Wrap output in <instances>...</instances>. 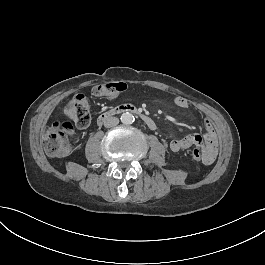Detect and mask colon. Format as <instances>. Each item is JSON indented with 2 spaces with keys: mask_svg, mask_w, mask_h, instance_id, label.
<instances>
[{
  "mask_svg": "<svg viewBox=\"0 0 265 265\" xmlns=\"http://www.w3.org/2000/svg\"><path fill=\"white\" fill-rule=\"evenodd\" d=\"M126 89L123 83L99 84L92 88L91 94L97 98L114 100ZM90 103L88 96L83 93L75 95L73 102L66 108L67 116L73 120L78 127H86L91 122L89 111ZM73 133L72 124L69 121L58 119L47 128L42 136V146L49 156H63L70 151L68 140ZM202 148L194 146L191 149L192 157L201 162L200 151ZM202 163V162H201Z\"/></svg>",
  "mask_w": 265,
  "mask_h": 265,
  "instance_id": "5ec220e1",
  "label": "colon"
}]
</instances>
